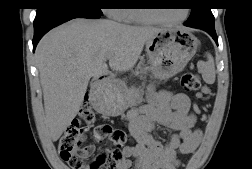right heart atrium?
Here are the masks:
<instances>
[{
	"instance_id": "1",
	"label": "right heart atrium",
	"mask_w": 252,
	"mask_h": 169,
	"mask_svg": "<svg viewBox=\"0 0 252 169\" xmlns=\"http://www.w3.org/2000/svg\"><path fill=\"white\" fill-rule=\"evenodd\" d=\"M123 9H119V8H114V9H106V13L107 15L114 19V20H121V12Z\"/></svg>"
}]
</instances>
